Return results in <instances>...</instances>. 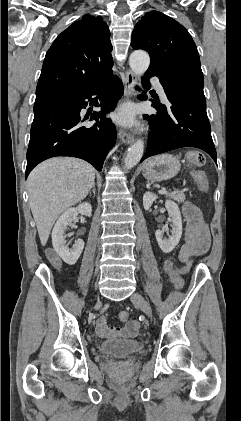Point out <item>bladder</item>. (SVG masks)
I'll return each mask as SVG.
<instances>
[{
	"mask_svg": "<svg viewBox=\"0 0 241 421\" xmlns=\"http://www.w3.org/2000/svg\"><path fill=\"white\" fill-rule=\"evenodd\" d=\"M140 349V343L132 339L107 340L100 345L102 353L115 358H127L139 352Z\"/></svg>",
	"mask_w": 241,
	"mask_h": 421,
	"instance_id": "1",
	"label": "bladder"
}]
</instances>
